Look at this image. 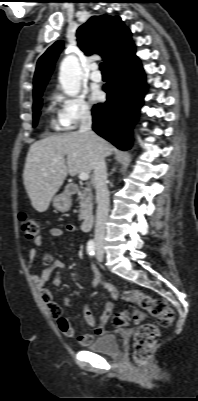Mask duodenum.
Segmentation results:
<instances>
[{"label":"duodenum","instance_id":"410a0bca","mask_svg":"<svg viewBox=\"0 0 198 401\" xmlns=\"http://www.w3.org/2000/svg\"><path fill=\"white\" fill-rule=\"evenodd\" d=\"M78 186L76 185H69L67 190L69 193L74 194L78 191ZM94 223V216L92 214L86 215L82 225H81V229L83 232H87L91 229L92 225Z\"/></svg>","mask_w":198,"mask_h":401}]
</instances>
